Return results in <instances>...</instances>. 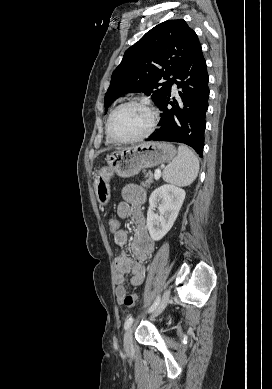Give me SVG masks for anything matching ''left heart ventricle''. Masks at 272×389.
<instances>
[{"instance_id":"left-heart-ventricle-1","label":"left heart ventricle","mask_w":272,"mask_h":389,"mask_svg":"<svg viewBox=\"0 0 272 389\" xmlns=\"http://www.w3.org/2000/svg\"><path fill=\"white\" fill-rule=\"evenodd\" d=\"M150 122L149 113L137 105H128L118 110L111 121L114 137L127 139L144 132Z\"/></svg>"}]
</instances>
